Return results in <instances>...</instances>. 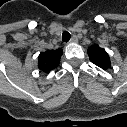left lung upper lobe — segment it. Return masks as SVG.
<instances>
[{
  "label": "left lung upper lobe",
  "mask_w": 127,
  "mask_h": 127,
  "mask_svg": "<svg viewBox=\"0 0 127 127\" xmlns=\"http://www.w3.org/2000/svg\"><path fill=\"white\" fill-rule=\"evenodd\" d=\"M88 55L91 62L103 70H107L111 66L108 53L98 45H93L88 49Z\"/></svg>",
  "instance_id": "obj_1"
}]
</instances>
